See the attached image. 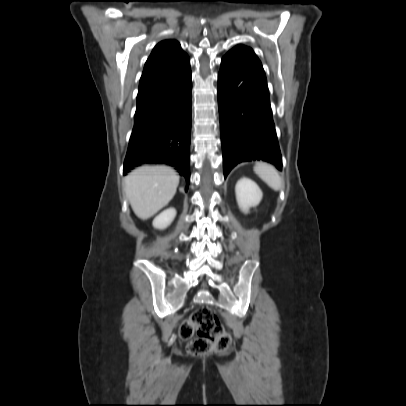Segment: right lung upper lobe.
<instances>
[{"instance_id":"1","label":"right lung upper lobe","mask_w":406,"mask_h":406,"mask_svg":"<svg viewBox=\"0 0 406 406\" xmlns=\"http://www.w3.org/2000/svg\"><path fill=\"white\" fill-rule=\"evenodd\" d=\"M188 66H190L189 57L182 51L177 41L160 42L145 64L138 94L172 80Z\"/></svg>"}]
</instances>
